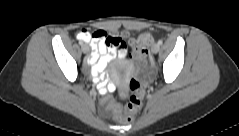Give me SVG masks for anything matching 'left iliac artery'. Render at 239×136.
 Returning <instances> with one entry per match:
<instances>
[{
  "label": "left iliac artery",
  "instance_id": "left-iliac-artery-1",
  "mask_svg": "<svg viewBox=\"0 0 239 136\" xmlns=\"http://www.w3.org/2000/svg\"><path fill=\"white\" fill-rule=\"evenodd\" d=\"M162 43H163V41H162V40H159V41H158V44H159V45H161Z\"/></svg>",
  "mask_w": 239,
  "mask_h": 136
}]
</instances>
